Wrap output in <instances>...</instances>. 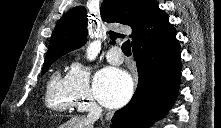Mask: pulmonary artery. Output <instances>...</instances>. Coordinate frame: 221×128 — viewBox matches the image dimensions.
<instances>
[{"label": "pulmonary artery", "instance_id": "pulmonary-artery-1", "mask_svg": "<svg viewBox=\"0 0 221 128\" xmlns=\"http://www.w3.org/2000/svg\"><path fill=\"white\" fill-rule=\"evenodd\" d=\"M106 59L110 64L115 66L122 64L124 60L122 51L117 46L110 48V50L107 52Z\"/></svg>", "mask_w": 221, "mask_h": 128}]
</instances>
